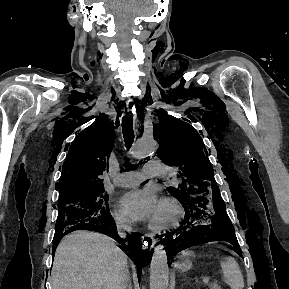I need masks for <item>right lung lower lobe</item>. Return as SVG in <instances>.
<instances>
[{
  "label": "right lung lower lobe",
  "instance_id": "right-lung-lower-lobe-1",
  "mask_svg": "<svg viewBox=\"0 0 289 289\" xmlns=\"http://www.w3.org/2000/svg\"><path fill=\"white\" fill-rule=\"evenodd\" d=\"M76 230H91L103 233L105 235L110 236L117 242H119L123 247V251L134 261V263L139 267V272L141 267L147 264V257H145L144 252L142 251V242H141V234L139 233H131L128 234V240H123L117 232L116 224L111 217L110 212L104 216L97 218H85L82 219L77 224H74L69 230L65 232L64 235L76 231ZM63 235V236H64ZM63 236H55L53 242V254L55 253L56 246L59 240ZM150 258V256H149Z\"/></svg>",
  "mask_w": 289,
  "mask_h": 289
}]
</instances>
